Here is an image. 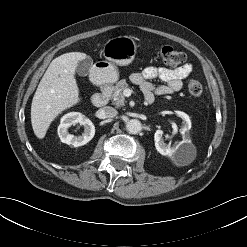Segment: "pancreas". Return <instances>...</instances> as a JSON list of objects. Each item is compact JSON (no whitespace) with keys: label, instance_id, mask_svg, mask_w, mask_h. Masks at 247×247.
<instances>
[{"label":"pancreas","instance_id":"1","mask_svg":"<svg viewBox=\"0 0 247 247\" xmlns=\"http://www.w3.org/2000/svg\"><path fill=\"white\" fill-rule=\"evenodd\" d=\"M128 88V84L125 79L120 80L114 87L111 96L112 104L121 107L125 105V96L123 91Z\"/></svg>","mask_w":247,"mask_h":247}]
</instances>
